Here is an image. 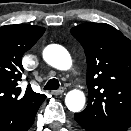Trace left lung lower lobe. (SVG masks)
I'll list each match as a JSON object with an SVG mask.
<instances>
[{
    "label": "left lung lower lobe",
    "mask_w": 131,
    "mask_h": 131,
    "mask_svg": "<svg viewBox=\"0 0 131 131\" xmlns=\"http://www.w3.org/2000/svg\"><path fill=\"white\" fill-rule=\"evenodd\" d=\"M75 120L79 123L86 131H100L99 129L93 127L89 122L81 115V113H76L74 115Z\"/></svg>",
    "instance_id": "obj_1"
}]
</instances>
